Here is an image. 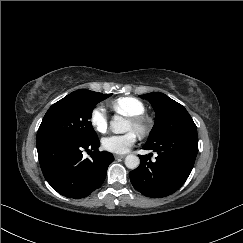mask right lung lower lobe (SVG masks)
I'll use <instances>...</instances> for the list:
<instances>
[{"label":"right lung lower lobe","mask_w":243,"mask_h":243,"mask_svg":"<svg viewBox=\"0 0 243 243\" xmlns=\"http://www.w3.org/2000/svg\"><path fill=\"white\" fill-rule=\"evenodd\" d=\"M94 139L79 142L51 138L37 143L39 163L50 186L63 196L83 198L99 188L114 160L109 152H100ZM93 150L92 159H83V151Z\"/></svg>","instance_id":"obj_1"}]
</instances>
